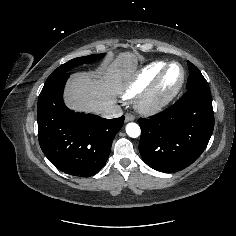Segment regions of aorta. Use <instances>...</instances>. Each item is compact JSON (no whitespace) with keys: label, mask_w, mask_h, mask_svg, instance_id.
I'll return each mask as SVG.
<instances>
[{"label":"aorta","mask_w":236,"mask_h":236,"mask_svg":"<svg viewBox=\"0 0 236 236\" xmlns=\"http://www.w3.org/2000/svg\"><path fill=\"white\" fill-rule=\"evenodd\" d=\"M126 133L132 138H137L140 136L141 130L138 124L132 122L126 125Z\"/></svg>","instance_id":"obj_1"}]
</instances>
